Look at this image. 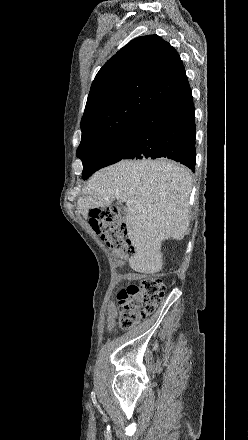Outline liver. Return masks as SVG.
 Listing matches in <instances>:
<instances>
[{
  "mask_svg": "<svg viewBox=\"0 0 248 440\" xmlns=\"http://www.w3.org/2000/svg\"><path fill=\"white\" fill-rule=\"evenodd\" d=\"M191 173L167 159L122 160L97 171L85 186L77 209L86 219L90 209L109 206L115 199L133 202L125 217L127 235L135 253V271L155 274L163 265L164 240L187 234Z\"/></svg>",
  "mask_w": 248,
  "mask_h": 440,
  "instance_id": "liver-1",
  "label": "liver"
}]
</instances>
